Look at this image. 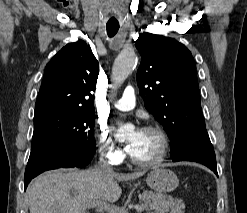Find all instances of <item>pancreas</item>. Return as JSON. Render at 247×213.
<instances>
[{
	"instance_id": "cf45deb5",
	"label": "pancreas",
	"mask_w": 247,
	"mask_h": 213,
	"mask_svg": "<svg viewBox=\"0 0 247 213\" xmlns=\"http://www.w3.org/2000/svg\"><path fill=\"white\" fill-rule=\"evenodd\" d=\"M139 197L146 209L154 210L155 213H183L185 209L182 199H174L161 193L146 190Z\"/></svg>"
}]
</instances>
